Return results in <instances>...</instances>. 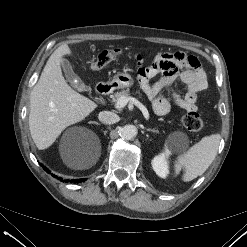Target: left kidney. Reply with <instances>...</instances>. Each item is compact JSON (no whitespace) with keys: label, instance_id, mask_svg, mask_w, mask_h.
<instances>
[{"label":"left kidney","instance_id":"obj_1","mask_svg":"<svg viewBox=\"0 0 247 247\" xmlns=\"http://www.w3.org/2000/svg\"><path fill=\"white\" fill-rule=\"evenodd\" d=\"M167 154L162 153L152 160V167L155 173L161 177L166 178L169 174V167L167 162Z\"/></svg>","mask_w":247,"mask_h":247}]
</instances>
